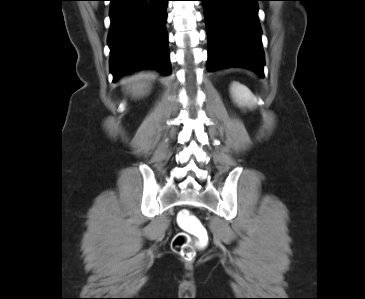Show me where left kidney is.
Here are the masks:
<instances>
[{
    "instance_id": "5707ae66",
    "label": "left kidney",
    "mask_w": 365,
    "mask_h": 299,
    "mask_svg": "<svg viewBox=\"0 0 365 299\" xmlns=\"http://www.w3.org/2000/svg\"><path fill=\"white\" fill-rule=\"evenodd\" d=\"M231 94L235 102L242 107H252L255 103L251 91L244 85L234 82L231 86Z\"/></svg>"
}]
</instances>
